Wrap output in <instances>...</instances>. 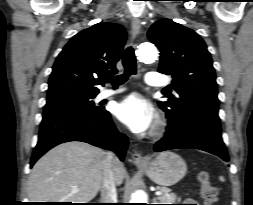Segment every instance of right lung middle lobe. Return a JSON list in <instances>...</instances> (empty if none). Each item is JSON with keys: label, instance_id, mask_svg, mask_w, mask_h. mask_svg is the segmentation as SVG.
<instances>
[{"label": "right lung middle lobe", "instance_id": "right-lung-middle-lobe-1", "mask_svg": "<svg viewBox=\"0 0 253 205\" xmlns=\"http://www.w3.org/2000/svg\"><path fill=\"white\" fill-rule=\"evenodd\" d=\"M94 97L95 96H79L48 101L45 105L44 113L71 111L82 114H95L102 111V108L95 106L93 101Z\"/></svg>", "mask_w": 253, "mask_h": 205}]
</instances>
